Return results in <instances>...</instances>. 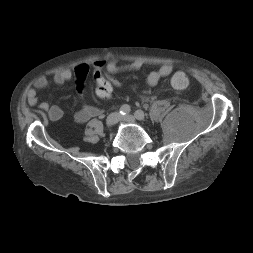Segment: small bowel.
<instances>
[{
    "label": "small bowel",
    "mask_w": 253,
    "mask_h": 253,
    "mask_svg": "<svg viewBox=\"0 0 253 253\" xmlns=\"http://www.w3.org/2000/svg\"><path fill=\"white\" fill-rule=\"evenodd\" d=\"M143 67V62L136 60L129 63H120L117 60H110L106 63V69L111 74H119L130 71H137ZM173 71V66L171 64H162L155 70H152L146 79L147 85L149 87H155L159 81L170 75ZM89 67L87 64H79L74 70H62L54 74L51 80L46 77H40L34 83V88L27 92V102L30 106L38 105L39 109L45 112L49 120L55 122L62 118L63 110L59 105H50L45 100H40L37 94V89H45L51 84L62 85L65 82L75 79L76 88L78 93L81 95L83 90L84 82L88 76ZM102 114V110L95 106L83 103L81 108L75 113L74 119L77 123H85L92 118L98 117Z\"/></svg>",
    "instance_id": "obj_1"
}]
</instances>
